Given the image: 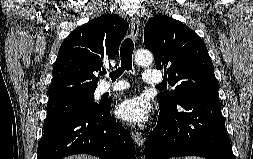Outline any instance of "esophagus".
<instances>
[{
    "instance_id": "obj_1",
    "label": "esophagus",
    "mask_w": 253,
    "mask_h": 159,
    "mask_svg": "<svg viewBox=\"0 0 253 159\" xmlns=\"http://www.w3.org/2000/svg\"><path fill=\"white\" fill-rule=\"evenodd\" d=\"M139 25H140L139 19L136 17H132L131 18V37L134 41H137L138 39ZM131 137L138 147H141V148L143 147L145 138L140 132L136 130H131Z\"/></svg>"
}]
</instances>
